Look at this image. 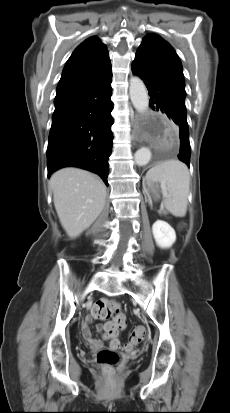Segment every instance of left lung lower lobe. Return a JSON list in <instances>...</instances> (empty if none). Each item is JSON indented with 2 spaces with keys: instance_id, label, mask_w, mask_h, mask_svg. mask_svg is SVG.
<instances>
[{
  "instance_id": "0a47b994",
  "label": "left lung lower lobe",
  "mask_w": 230,
  "mask_h": 413,
  "mask_svg": "<svg viewBox=\"0 0 230 413\" xmlns=\"http://www.w3.org/2000/svg\"><path fill=\"white\" fill-rule=\"evenodd\" d=\"M132 71L141 77L149 90L150 107L161 111L179 127V160L189 167L190 145L185 106V86L179 78L155 58L136 52Z\"/></svg>"
}]
</instances>
